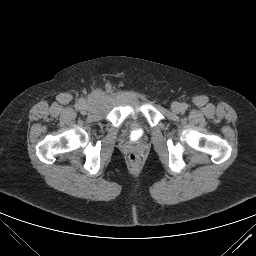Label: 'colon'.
Instances as JSON below:
<instances>
[{
	"mask_svg": "<svg viewBox=\"0 0 256 256\" xmlns=\"http://www.w3.org/2000/svg\"><path fill=\"white\" fill-rule=\"evenodd\" d=\"M128 161L129 163L132 165V166H138L141 162V159L140 157L135 154V153H131L129 156H128Z\"/></svg>",
	"mask_w": 256,
	"mask_h": 256,
	"instance_id": "5ec220e1",
	"label": "colon"
}]
</instances>
